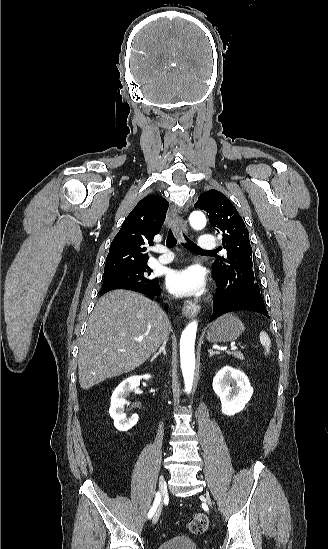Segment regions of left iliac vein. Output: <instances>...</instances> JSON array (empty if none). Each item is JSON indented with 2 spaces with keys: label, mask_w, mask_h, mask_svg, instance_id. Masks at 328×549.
Wrapping results in <instances>:
<instances>
[{
  "label": "left iliac vein",
  "mask_w": 328,
  "mask_h": 549,
  "mask_svg": "<svg viewBox=\"0 0 328 549\" xmlns=\"http://www.w3.org/2000/svg\"><path fill=\"white\" fill-rule=\"evenodd\" d=\"M206 500H207L208 504L211 505V499L208 495H206Z\"/></svg>",
  "instance_id": "obj_1"
}]
</instances>
